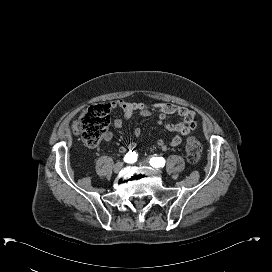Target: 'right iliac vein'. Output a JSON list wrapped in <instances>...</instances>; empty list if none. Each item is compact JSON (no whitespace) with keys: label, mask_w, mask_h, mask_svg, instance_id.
Segmentation results:
<instances>
[{"label":"right iliac vein","mask_w":272,"mask_h":272,"mask_svg":"<svg viewBox=\"0 0 272 272\" xmlns=\"http://www.w3.org/2000/svg\"><path fill=\"white\" fill-rule=\"evenodd\" d=\"M123 168V163L122 162H117L114 167H113V171L115 173H119Z\"/></svg>","instance_id":"1"}]
</instances>
